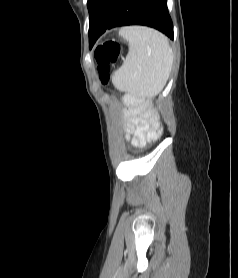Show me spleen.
<instances>
[{"label": "spleen", "instance_id": "spleen-1", "mask_svg": "<svg viewBox=\"0 0 238 278\" xmlns=\"http://www.w3.org/2000/svg\"><path fill=\"white\" fill-rule=\"evenodd\" d=\"M119 35L128 41L129 51L123 65L113 74L115 87L141 95L159 93L173 64V52L167 37L143 26L123 27Z\"/></svg>", "mask_w": 238, "mask_h": 278}]
</instances>
